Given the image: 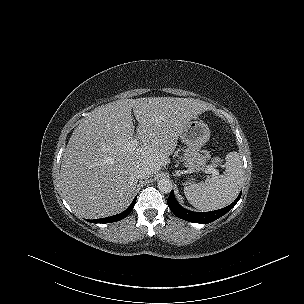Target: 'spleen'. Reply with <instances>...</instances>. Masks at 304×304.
Wrapping results in <instances>:
<instances>
[{
	"label": "spleen",
	"mask_w": 304,
	"mask_h": 304,
	"mask_svg": "<svg viewBox=\"0 0 304 304\" xmlns=\"http://www.w3.org/2000/svg\"><path fill=\"white\" fill-rule=\"evenodd\" d=\"M225 160L224 174L184 187L187 200L195 208L202 211L220 209L237 197L243 184V162L236 151L228 153Z\"/></svg>",
	"instance_id": "3e777b00"
}]
</instances>
